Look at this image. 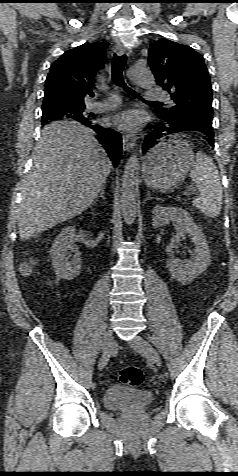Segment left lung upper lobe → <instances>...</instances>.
<instances>
[{"label": "left lung upper lobe", "instance_id": "5c2ea615", "mask_svg": "<svg viewBox=\"0 0 238 476\" xmlns=\"http://www.w3.org/2000/svg\"><path fill=\"white\" fill-rule=\"evenodd\" d=\"M148 52L156 82L175 102L173 108L160 110L159 115L213 118V90L203 57L191 47L165 38L151 44Z\"/></svg>", "mask_w": 238, "mask_h": 476}]
</instances>
